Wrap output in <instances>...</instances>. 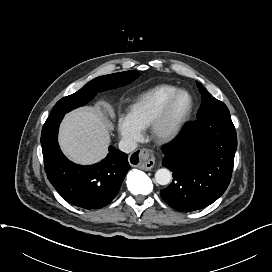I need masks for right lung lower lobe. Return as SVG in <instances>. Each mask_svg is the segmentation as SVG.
Here are the masks:
<instances>
[{"label": "right lung lower lobe", "mask_w": 272, "mask_h": 272, "mask_svg": "<svg viewBox=\"0 0 272 272\" xmlns=\"http://www.w3.org/2000/svg\"><path fill=\"white\" fill-rule=\"evenodd\" d=\"M65 114L49 117L42 129L41 146L47 177L68 203L85 209H97L110 203L130 169L128 155L109 147V153L94 165H77L61 152L57 140Z\"/></svg>", "instance_id": "1"}]
</instances>
